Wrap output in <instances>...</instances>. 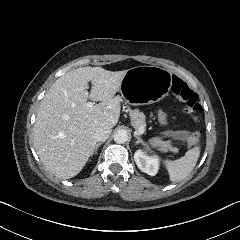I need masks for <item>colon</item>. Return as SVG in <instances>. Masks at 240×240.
<instances>
[{
	"mask_svg": "<svg viewBox=\"0 0 240 240\" xmlns=\"http://www.w3.org/2000/svg\"><path fill=\"white\" fill-rule=\"evenodd\" d=\"M177 95L180 100L185 104H188V112H195L200 108L199 96L198 94L190 88L187 84H184L177 90ZM158 122L163 124L167 123V114L163 113V110H158ZM200 136V135H199ZM198 141V133L194 132L190 138H186V146L195 145ZM200 143V138H199Z\"/></svg>",
	"mask_w": 240,
	"mask_h": 240,
	"instance_id": "colon-1",
	"label": "colon"
}]
</instances>
